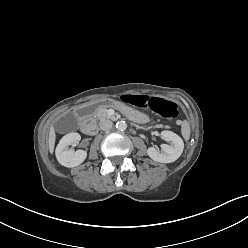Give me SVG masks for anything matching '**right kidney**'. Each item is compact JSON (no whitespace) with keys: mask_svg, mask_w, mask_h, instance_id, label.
Segmentation results:
<instances>
[{"mask_svg":"<svg viewBox=\"0 0 248 248\" xmlns=\"http://www.w3.org/2000/svg\"><path fill=\"white\" fill-rule=\"evenodd\" d=\"M81 140L80 134L72 132L61 138L56 147V158L58 162L68 168H73L80 165L87 157V152L84 150L74 151L68 146L74 142L78 143Z\"/></svg>","mask_w":248,"mask_h":248,"instance_id":"ca27d5eb","label":"right kidney"}]
</instances>
